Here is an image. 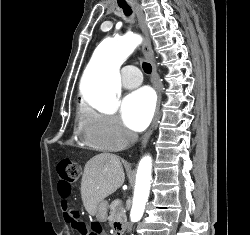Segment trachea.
<instances>
[{"label": "trachea", "mask_w": 250, "mask_h": 235, "mask_svg": "<svg viewBox=\"0 0 250 235\" xmlns=\"http://www.w3.org/2000/svg\"><path fill=\"white\" fill-rule=\"evenodd\" d=\"M120 7L122 8L124 14L129 17L132 14V10L131 7L128 5H120ZM143 70L145 73L150 74L152 71V67L151 64L144 62L143 63Z\"/></svg>", "instance_id": "obj_1"}]
</instances>
